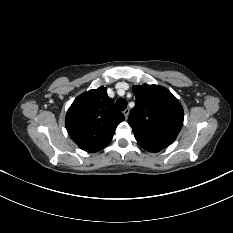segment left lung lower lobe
<instances>
[{
	"mask_svg": "<svg viewBox=\"0 0 233 233\" xmlns=\"http://www.w3.org/2000/svg\"><path fill=\"white\" fill-rule=\"evenodd\" d=\"M166 147L167 146L163 144H148V145L143 146V148L149 152H158Z\"/></svg>",
	"mask_w": 233,
	"mask_h": 233,
	"instance_id": "0a47b994",
	"label": "left lung lower lobe"
}]
</instances>
